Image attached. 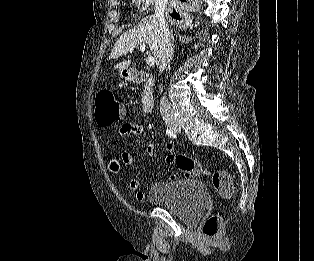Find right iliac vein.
Instances as JSON below:
<instances>
[{"label": "right iliac vein", "instance_id": "obj_1", "mask_svg": "<svg viewBox=\"0 0 314 261\" xmlns=\"http://www.w3.org/2000/svg\"><path fill=\"white\" fill-rule=\"evenodd\" d=\"M169 126L172 128V129H177L178 128V124L177 123H170Z\"/></svg>", "mask_w": 314, "mask_h": 261}]
</instances>
